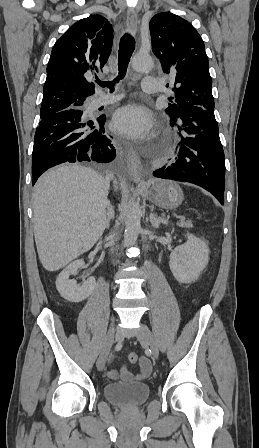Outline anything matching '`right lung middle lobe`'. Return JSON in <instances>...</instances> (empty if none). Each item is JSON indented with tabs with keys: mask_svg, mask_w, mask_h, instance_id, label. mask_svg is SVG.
Segmentation results:
<instances>
[{
	"mask_svg": "<svg viewBox=\"0 0 259 448\" xmlns=\"http://www.w3.org/2000/svg\"><path fill=\"white\" fill-rule=\"evenodd\" d=\"M63 111H68V113L77 114V113H80L81 111H84V105L72 106V107H69V108H67L65 110H62L60 112H63ZM57 113H59V112H57ZM50 115H52V114L40 115V118L43 119V118H46V117H48Z\"/></svg>",
	"mask_w": 259,
	"mask_h": 448,
	"instance_id": "right-lung-middle-lobe-1",
	"label": "right lung middle lobe"
}]
</instances>
